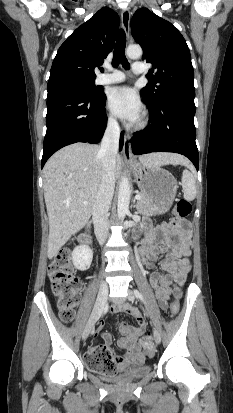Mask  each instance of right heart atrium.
<instances>
[{
  "instance_id": "d8ad5b80",
  "label": "right heart atrium",
  "mask_w": 233,
  "mask_h": 413,
  "mask_svg": "<svg viewBox=\"0 0 233 413\" xmlns=\"http://www.w3.org/2000/svg\"><path fill=\"white\" fill-rule=\"evenodd\" d=\"M107 123L110 127H116L117 126V121L111 113L108 114V116H107Z\"/></svg>"
}]
</instances>
